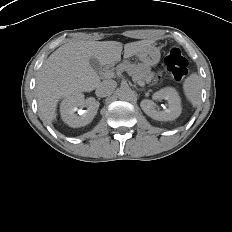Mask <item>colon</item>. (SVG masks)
Instances as JSON below:
<instances>
[{"label": "colon", "instance_id": "5ec220e1", "mask_svg": "<svg viewBox=\"0 0 232 232\" xmlns=\"http://www.w3.org/2000/svg\"><path fill=\"white\" fill-rule=\"evenodd\" d=\"M167 72L175 81H181L188 73V61L177 48H172L164 59Z\"/></svg>", "mask_w": 232, "mask_h": 232}]
</instances>
